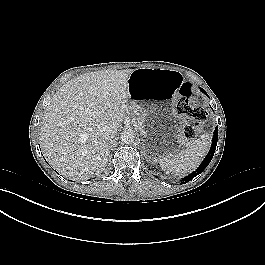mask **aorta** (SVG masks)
<instances>
[{"instance_id":"obj_1","label":"aorta","mask_w":265,"mask_h":265,"mask_svg":"<svg viewBox=\"0 0 265 265\" xmlns=\"http://www.w3.org/2000/svg\"><path fill=\"white\" fill-rule=\"evenodd\" d=\"M134 138H135V134L132 131H129V130L124 131L121 134V140L124 143H131V142L134 141Z\"/></svg>"}]
</instances>
